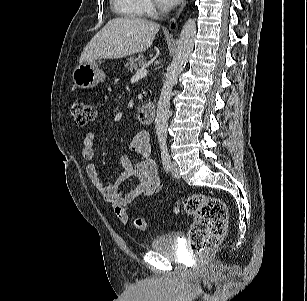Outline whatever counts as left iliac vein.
Here are the masks:
<instances>
[{"instance_id": "left-iliac-vein-1", "label": "left iliac vein", "mask_w": 307, "mask_h": 301, "mask_svg": "<svg viewBox=\"0 0 307 301\" xmlns=\"http://www.w3.org/2000/svg\"><path fill=\"white\" fill-rule=\"evenodd\" d=\"M171 174L173 177L179 179L181 177L180 170L177 162H172L171 164Z\"/></svg>"}]
</instances>
